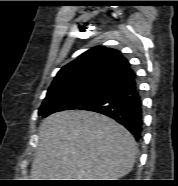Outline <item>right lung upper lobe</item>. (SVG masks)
Returning a JSON list of instances; mask_svg holds the SVG:
<instances>
[{
	"label": "right lung upper lobe",
	"mask_w": 178,
	"mask_h": 186,
	"mask_svg": "<svg viewBox=\"0 0 178 186\" xmlns=\"http://www.w3.org/2000/svg\"><path fill=\"white\" fill-rule=\"evenodd\" d=\"M132 74L134 71L119 51L94 47L61 68L48 92L91 83L110 85Z\"/></svg>",
	"instance_id": "obj_1"
}]
</instances>
